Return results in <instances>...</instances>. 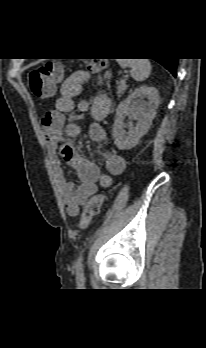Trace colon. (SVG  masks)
Returning <instances> with one entry per match:
<instances>
[{
    "instance_id": "obj_1",
    "label": "colon",
    "mask_w": 206,
    "mask_h": 348,
    "mask_svg": "<svg viewBox=\"0 0 206 348\" xmlns=\"http://www.w3.org/2000/svg\"><path fill=\"white\" fill-rule=\"evenodd\" d=\"M105 63L102 60H96L88 65V70L92 73L99 74L100 81L107 79L108 74L104 72ZM62 65L60 62H50L43 66L37 67L30 72V88L32 93L37 97H47L52 95L60 77L62 76ZM105 201L101 194L94 195L84 205L78 227L85 229L89 226L92 219L96 217Z\"/></svg>"
}]
</instances>
